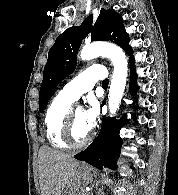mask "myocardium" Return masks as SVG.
<instances>
[{
  "mask_svg": "<svg viewBox=\"0 0 178 195\" xmlns=\"http://www.w3.org/2000/svg\"><path fill=\"white\" fill-rule=\"evenodd\" d=\"M74 109H70L65 117L63 127H62V139L63 141L68 145V147L73 149H80L85 146H87L91 140L93 139V133H90V135L82 142H76L73 139L72 135V129H73V115H74Z\"/></svg>",
  "mask_w": 178,
  "mask_h": 195,
  "instance_id": "obj_1",
  "label": "myocardium"
}]
</instances>
